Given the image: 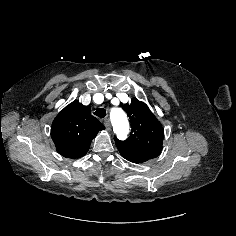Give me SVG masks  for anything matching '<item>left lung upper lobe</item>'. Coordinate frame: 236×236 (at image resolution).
Returning a JSON list of instances; mask_svg holds the SVG:
<instances>
[{"instance_id":"obj_1","label":"left lung upper lobe","mask_w":236,"mask_h":236,"mask_svg":"<svg viewBox=\"0 0 236 236\" xmlns=\"http://www.w3.org/2000/svg\"><path fill=\"white\" fill-rule=\"evenodd\" d=\"M123 110L127 113L131 123V133L127 140H114L116 146L132 149L162 150L164 130L161 123L150 111L149 107L136 98L130 104H125Z\"/></svg>"}]
</instances>
